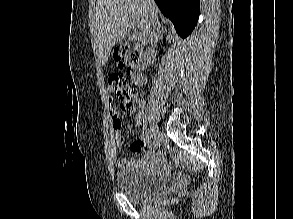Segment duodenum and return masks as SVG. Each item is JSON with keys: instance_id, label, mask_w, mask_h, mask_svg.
<instances>
[{"instance_id": "obj_1", "label": "duodenum", "mask_w": 293, "mask_h": 219, "mask_svg": "<svg viewBox=\"0 0 293 219\" xmlns=\"http://www.w3.org/2000/svg\"><path fill=\"white\" fill-rule=\"evenodd\" d=\"M138 52V72L133 76V82L137 86H142L145 83V76L143 74V70H145L150 62L149 55L143 51L140 46L136 48Z\"/></svg>"}]
</instances>
